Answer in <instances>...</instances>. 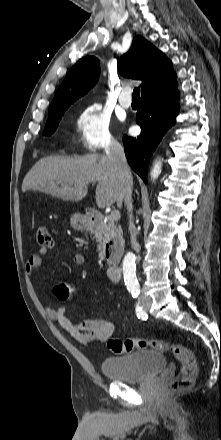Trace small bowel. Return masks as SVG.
Returning <instances> with one entry per match:
<instances>
[{"mask_svg":"<svg viewBox=\"0 0 221 440\" xmlns=\"http://www.w3.org/2000/svg\"><path fill=\"white\" fill-rule=\"evenodd\" d=\"M47 253V249H40L39 254H34L28 259L25 270L29 278H34L35 272L41 268L42 256ZM73 263L77 266L84 263L82 254L73 255ZM47 315L56 321L59 327L67 332L72 338L84 346H91L94 343L106 342L114 332V325L111 321L104 318L87 317L78 323L72 322L66 314L64 308H53L44 305Z\"/></svg>","mask_w":221,"mask_h":440,"instance_id":"c3829d8e","label":"small bowel"}]
</instances>
